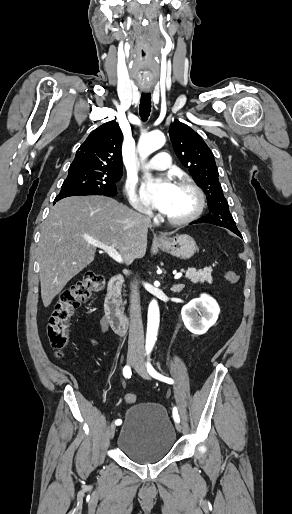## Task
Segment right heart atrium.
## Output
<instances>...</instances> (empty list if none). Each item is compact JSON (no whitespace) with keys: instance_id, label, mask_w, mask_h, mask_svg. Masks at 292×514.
I'll use <instances>...</instances> for the list:
<instances>
[{"instance_id":"d8ad5b80","label":"right heart atrium","mask_w":292,"mask_h":514,"mask_svg":"<svg viewBox=\"0 0 292 514\" xmlns=\"http://www.w3.org/2000/svg\"><path fill=\"white\" fill-rule=\"evenodd\" d=\"M124 191L134 209H143V213L147 210L145 201L137 191L136 179L128 175L125 180Z\"/></svg>"}]
</instances>
